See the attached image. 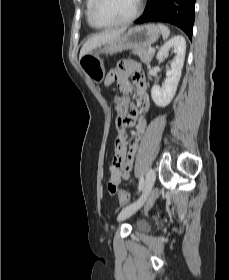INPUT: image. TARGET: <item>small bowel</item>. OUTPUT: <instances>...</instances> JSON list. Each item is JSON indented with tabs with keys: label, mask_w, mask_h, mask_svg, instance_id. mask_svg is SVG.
<instances>
[{
	"label": "small bowel",
	"mask_w": 229,
	"mask_h": 280,
	"mask_svg": "<svg viewBox=\"0 0 229 280\" xmlns=\"http://www.w3.org/2000/svg\"><path fill=\"white\" fill-rule=\"evenodd\" d=\"M107 85L116 83L122 92H129L135 86L137 99L135 105L129 110L128 103L123 104L119 98H116V111L119 114H125L130 122H136V128L133 133V139L126 147L127 135L117 138L114 145L113 159L120 158L123 161L127 159L122 169L111 167L109 181L119 185L122 181L130 178L132 162L135 157L138 143L146 129L147 121L145 118H138L139 114L149 111L150 100L147 94L146 79L139 66L134 62L126 63L123 66H117L110 70L106 78Z\"/></svg>",
	"instance_id": "obj_1"
}]
</instances>
